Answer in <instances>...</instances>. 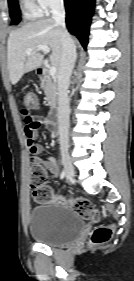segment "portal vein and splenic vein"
Here are the masks:
<instances>
[{"mask_svg": "<svg viewBox=\"0 0 134 281\" xmlns=\"http://www.w3.org/2000/svg\"><path fill=\"white\" fill-rule=\"evenodd\" d=\"M36 48L39 49V50H42L44 53H49V52H50V48H49L47 45H38ZM34 49H35V48H28V49L26 50V53L29 54V53H31ZM56 73H57V68H56L55 66H51V67L49 68V75L55 76Z\"/></svg>", "mask_w": 134, "mask_h": 281, "instance_id": "1", "label": "portal vein and splenic vein"}]
</instances>
